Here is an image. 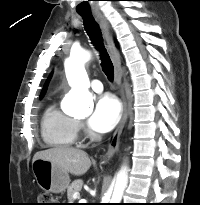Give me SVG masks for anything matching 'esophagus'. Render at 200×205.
Here are the masks:
<instances>
[{"mask_svg":"<svg viewBox=\"0 0 200 205\" xmlns=\"http://www.w3.org/2000/svg\"><path fill=\"white\" fill-rule=\"evenodd\" d=\"M94 17L104 32L107 50L114 66V80L118 87V93L122 101V118L112 138L110 139L106 153L102 157V162L105 163L108 162L119 149L120 136L128 118V107L124 94V88L122 86V72L119 51L115 46L113 37L109 30L108 22L105 17L100 12H95Z\"/></svg>","mask_w":200,"mask_h":205,"instance_id":"esophagus-1","label":"esophagus"}]
</instances>
